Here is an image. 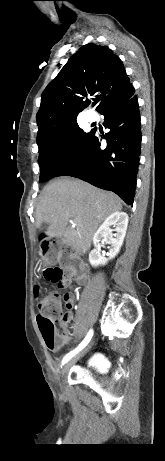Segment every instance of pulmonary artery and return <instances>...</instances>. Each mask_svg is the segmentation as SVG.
<instances>
[{
	"label": "pulmonary artery",
	"instance_id": "obj_1",
	"mask_svg": "<svg viewBox=\"0 0 165 461\" xmlns=\"http://www.w3.org/2000/svg\"><path fill=\"white\" fill-rule=\"evenodd\" d=\"M85 118H86L87 121L93 122V121L96 120V115H95V114H91V113H87V114L85 115Z\"/></svg>",
	"mask_w": 165,
	"mask_h": 461
}]
</instances>
